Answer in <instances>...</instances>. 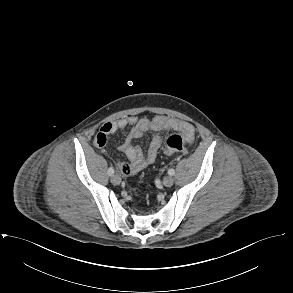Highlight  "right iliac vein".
<instances>
[{
    "label": "right iliac vein",
    "instance_id": "1",
    "mask_svg": "<svg viewBox=\"0 0 293 293\" xmlns=\"http://www.w3.org/2000/svg\"><path fill=\"white\" fill-rule=\"evenodd\" d=\"M111 182L113 185H119L121 182V178L118 174H114L111 176Z\"/></svg>",
    "mask_w": 293,
    "mask_h": 293
}]
</instances>
